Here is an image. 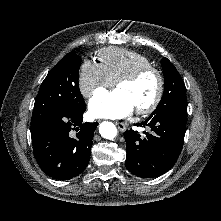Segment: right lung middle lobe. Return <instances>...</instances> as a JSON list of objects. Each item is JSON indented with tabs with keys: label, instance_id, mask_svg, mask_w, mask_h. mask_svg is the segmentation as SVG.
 Returning <instances> with one entry per match:
<instances>
[{
	"label": "right lung middle lobe",
	"instance_id": "1",
	"mask_svg": "<svg viewBox=\"0 0 221 221\" xmlns=\"http://www.w3.org/2000/svg\"><path fill=\"white\" fill-rule=\"evenodd\" d=\"M80 65L81 58L68 53L48 73L35 100L31 130L52 114L84 107L78 83Z\"/></svg>",
	"mask_w": 221,
	"mask_h": 221
}]
</instances>
